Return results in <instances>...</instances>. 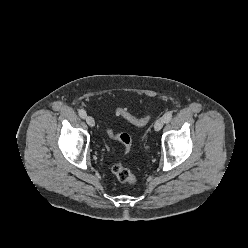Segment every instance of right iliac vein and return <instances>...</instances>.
Returning <instances> with one entry per match:
<instances>
[{"label": "right iliac vein", "instance_id": "right-iliac-vein-1", "mask_svg": "<svg viewBox=\"0 0 248 248\" xmlns=\"http://www.w3.org/2000/svg\"><path fill=\"white\" fill-rule=\"evenodd\" d=\"M86 122L90 127H93L95 125V121H94V118L92 116H87Z\"/></svg>", "mask_w": 248, "mask_h": 248}]
</instances>
